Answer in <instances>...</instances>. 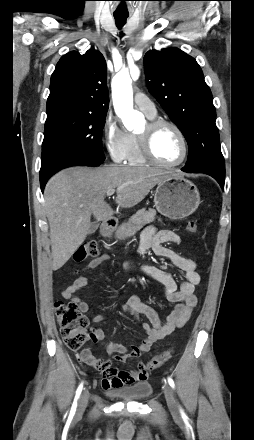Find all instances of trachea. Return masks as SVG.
Returning a JSON list of instances; mask_svg holds the SVG:
<instances>
[{
    "label": "trachea",
    "instance_id": "3493384b",
    "mask_svg": "<svg viewBox=\"0 0 254 440\" xmlns=\"http://www.w3.org/2000/svg\"><path fill=\"white\" fill-rule=\"evenodd\" d=\"M128 16H123V15H115V22L118 28H121L122 26L125 25L126 20H127Z\"/></svg>",
    "mask_w": 254,
    "mask_h": 440
}]
</instances>
